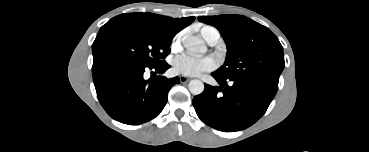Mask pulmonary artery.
I'll use <instances>...</instances> for the list:
<instances>
[{"label": "pulmonary artery", "mask_w": 369, "mask_h": 152, "mask_svg": "<svg viewBox=\"0 0 369 152\" xmlns=\"http://www.w3.org/2000/svg\"><path fill=\"white\" fill-rule=\"evenodd\" d=\"M201 35L205 39V41L211 46L216 45L220 40L219 31L211 26H207L204 29H202Z\"/></svg>", "instance_id": "obj_1"}]
</instances>
